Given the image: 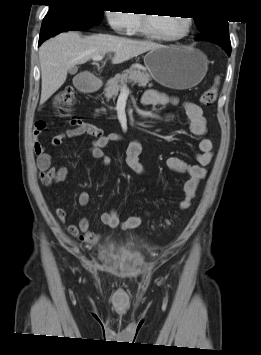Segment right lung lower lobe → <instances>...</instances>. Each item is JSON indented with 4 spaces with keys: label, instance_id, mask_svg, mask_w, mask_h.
Masks as SVG:
<instances>
[{
    "label": "right lung lower lobe",
    "instance_id": "right-lung-lower-lobe-1",
    "mask_svg": "<svg viewBox=\"0 0 261 355\" xmlns=\"http://www.w3.org/2000/svg\"><path fill=\"white\" fill-rule=\"evenodd\" d=\"M93 26L95 25L73 13H47L42 22L38 45L61 32L67 30H86Z\"/></svg>",
    "mask_w": 261,
    "mask_h": 355
}]
</instances>
